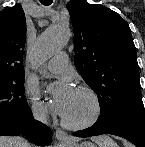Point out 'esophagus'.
I'll use <instances>...</instances> for the list:
<instances>
[{"label": "esophagus", "mask_w": 145, "mask_h": 147, "mask_svg": "<svg viewBox=\"0 0 145 147\" xmlns=\"http://www.w3.org/2000/svg\"><path fill=\"white\" fill-rule=\"evenodd\" d=\"M55 137L60 142H68V141H70V138L67 135V133L65 131L61 130V129L56 130Z\"/></svg>", "instance_id": "obj_1"}]
</instances>
